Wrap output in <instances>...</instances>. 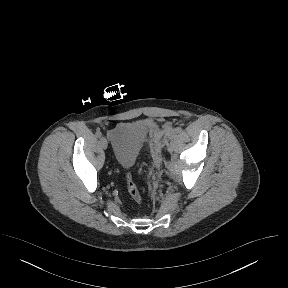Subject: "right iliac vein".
Returning <instances> with one entry per match:
<instances>
[{"instance_id":"63e3f726","label":"right iliac vein","mask_w":288,"mask_h":288,"mask_svg":"<svg viewBox=\"0 0 288 288\" xmlns=\"http://www.w3.org/2000/svg\"><path fill=\"white\" fill-rule=\"evenodd\" d=\"M101 145L104 149H106L108 146L107 140L104 137L101 138Z\"/></svg>"}]
</instances>
